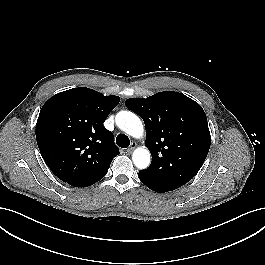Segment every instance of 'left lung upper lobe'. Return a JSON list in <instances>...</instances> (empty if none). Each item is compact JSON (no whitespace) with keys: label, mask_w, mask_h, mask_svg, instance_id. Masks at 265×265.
I'll return each mask as SVG.
<instances>
[{"label":"left lung upper lobe","mask_w":265,"mask_h":265,"mask_svg":"<svg viewBox=\"0 0 265 265\" xmlns=\"http://www.w3.org/2000/svg\"><path fill=\"white\" fill-rule=\"evenodd\" d=\"M146 127V146L152 162L144 175L179 188L192 179L208 154L211 136L206 114L189 97L172 91L127 99Z\"/></svg>","instance_id":"5c2ea615"}]
</instances>
